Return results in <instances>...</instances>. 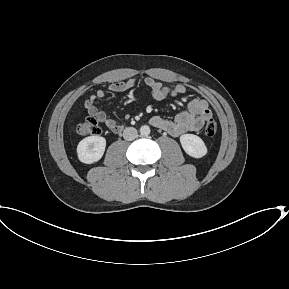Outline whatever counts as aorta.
I'll return each instance as SVG.
<instances>
[{
	"label": "aorta",
	"instance_id": "762f6f07",
	"mask_svg": "<svg viewBox=\"0 0 289 289\" xmlns=\"http://www.w3.org/2000/svg\"><path fill=\"white\" fill-rule=\"evenodd\" d=\"M140 134L142 136H148L150 134V128L147 125L141 126L140 128Z\"/></svg>",
	"mask_w": 289,
	"mask_h": 289
}]
</instances>
